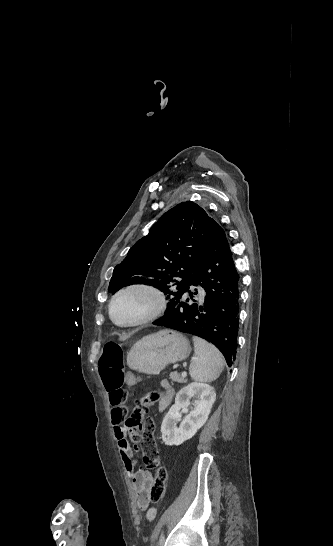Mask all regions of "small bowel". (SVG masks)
<instances>
[{"mask_svg":"<svg viewBox=\"0 0 333 546\" xmlns=\"http://www.w3.org/2000/svg\"><path fill=\"white\" fill-rule=\"evenodd\" d=\"M125 386L126 387H138L140 386V381H136V375L133 374L132 370H126L125 371ZM162 387L165 389V392L167 393L159 402V410H164L169 404L172 399L173 391L169 385L168 382L164 381L162 383ZM115 398H121L120 401L114 402ZM123 398V392L122 391H116V392H109V400L110 404L112 406L111 409V421L113 424V432L115 439L117 441L119 453L122 459V462L124 464L125 469L128 471L134 496L137 502V507L140 510H144L147 508L148 505V495L151 485L153 484L156 474H152L145 470H135L136 467V460L134 459L132 449L130 448V445L126 439V428L123 425L125 416H126V408L124 407L122 403ZM156 515V510L151 508L146 513V518L148 521H152Z\"/></svg>","mask_w":333,"mask_h":546,"instance_id":"small-bowel-1","label":"small bowel"}]
</instances>
